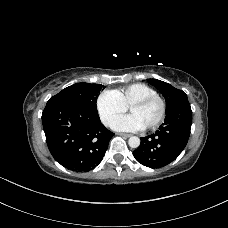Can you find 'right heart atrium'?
Returning <instances> with one entry per match:
<instances>
[{"label": "right heart atrium", "mask_w": 228, "mask_h": 228, "mask_svg": "<svg viewBox=\"0 0 228 228\" xmlns=\"http://www.w3.org/2000/svg\"><path fill=\"white\" fill-rule=\"evenodd\" d=\"M96 109L101 121L110 126L116 118L127 110V107L121 102L115 91L104 90L96 99Z\"/></svg>", "instance_id": "right-heart-atrium-1"}]
</instances>
